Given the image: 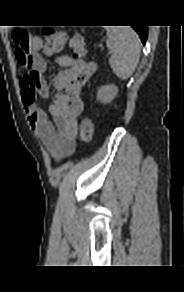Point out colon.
I'll list each match as a JSON object with an SVG mask.
<instances>
[{
  "mask_svg": "<svg viewBox=\"0 0 184 292\" xmlns=\"http://www.w3.org/2000/svg\"><path fill=\"white\" fill-rule=\"evenodd\" d=\"M43 43L42 50L46 55H53L59 53L64 48L67 37L62 31L44 28L42 30ZM13 40L18 46V50L21 55H25L29 47V34L22 29H17L13 32ZM69 45L73 49L75 58H80L85 56L86 47L85 40L79 33H75L69 40ZM94 131L93 121L90 117L84 116L80 124V138L84 142H88Z\"/></svg>",
  "mask_w": 184,
  "mask_h": 292,
  "instance_id": "1",
  "label": "colon"
}]
</instances>
